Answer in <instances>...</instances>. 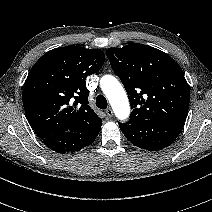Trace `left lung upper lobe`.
Masks as SVG:
<instances>
[{
	"mask_svg": "<svg viewBox=\"0 0 212 212\" xmlns=\"http://www.w3.org/2000/svg\"><path fill=\"white\" fill-rule=\"evenodd\" d=\"M107 57L128 93L132 112L124 124L141 119L185 122L190 89L181 68L168 54L132 43L109 48Z\"/></svg>",
	"mask_w": 212,
	"mask_h": 212,
	"instance_id": "left-lung-upper-lobe-1",
	"label": "left lung upper lobe"
}]
</instances>
